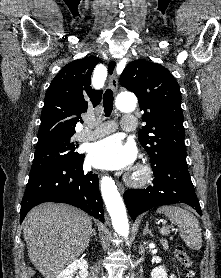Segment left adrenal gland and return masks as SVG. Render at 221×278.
Masks as SVG:
<instances>
[{"label":"left adrenal gland","mask_w":221,"mask_h":278,"mask_svg":"<svg viewBox=\"0 0 221 278\" xmlns=\"http://www.w3.org/2000/svg\"><path fill=\"white\" fill-rule=\"evenodd\" d=\"M147 234H149L150 236H153V234L151 233V231L148 228V224L146 223V226L143 230V235H147Z\"/></svg>","instance_id":"obj_1"}]
</instances>
